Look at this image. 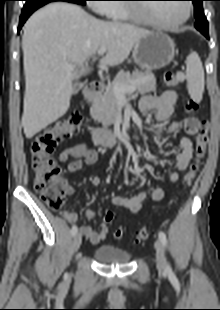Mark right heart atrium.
<instances>
[{"mask_svg":"<svg viewBox=\"0 0 220 310\" xmlns=\"http://www.w3.org/2000/svg\"><path fill=\"white\" fill-rule=\"evenodd\" d=\"M92 1H96V2H103V1H106V0H92ZM109 7V5L107 4H102V3H96V4H93L92 5V8L99 12V13H102L104 14L105 13V10Z\"/></svg>","mask_w":220,"mask_h":310,"instance_id":"right-heart-atrium-1","label":"right heart atrium"}]
</instances>
